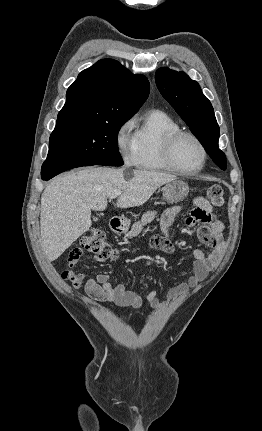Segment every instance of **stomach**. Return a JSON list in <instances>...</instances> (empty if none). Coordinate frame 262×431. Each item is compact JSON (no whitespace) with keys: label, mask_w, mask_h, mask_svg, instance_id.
Masks as SVG:
<instances>
[{"label":"stomach","mask_w":262,"mask_h":431,"mask_svg":"<svg viewBox=\"0 0 262 431\" xmlns=\"http://www.w3.org/2000/svg\"><path fill=\"white\" fill-rule=\"evenodd\" d=\"M189 193V186L182 180L174 179L167 183L163 188V198L170 203H177L184 200ZM129 228V221H123L121 226L122 232H127Z\"/></svg>","instance_id":"0dacf381"}]
</instances>
